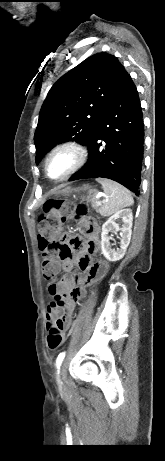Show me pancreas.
Here are the masks:
<instances>
[{"label":"pancreas","instance_id":"cf45deb5","mask_svg":"<svg viewBox=\"0 0 165 461\" xmlns=\"http://www.w3.org/2000/svg\"><path fill=\"white\" fill-rule=\"evenodd\" d=\"M88 199L91 202L92 207L100 212L99 205H97V200H96L95 196L88 197Z\"/></svg>","mask_w":165,"mask_h":461}]
</instances>
